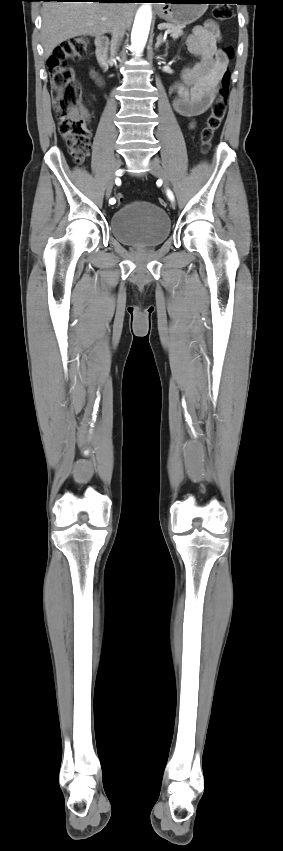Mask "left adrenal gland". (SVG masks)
<instances>
[{"label": "left adrenal gland", "instance_id": "obj_1", "mask_svg": "<svg viewBox=\"0 0 283 851\" xmlns=\"http://www.w3.org/2000/svg\"><path fill=\"white\" fill-rule=\"evenodd\" d=\"M162 43H165V44H166V49H165V57H166V56H167V54H168V52H167V50H168V41H166L165 39H163V37H162V33H160V34L158 35V37H157V42H156V44H155V49H158V48H159V46H160Z\"/></svg>", "mask_w": 283, "mask_h": 851}]
</instances>
